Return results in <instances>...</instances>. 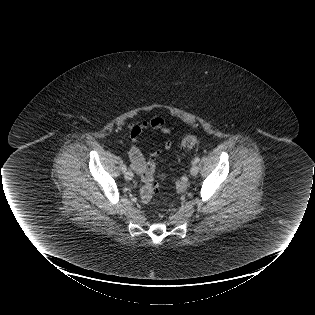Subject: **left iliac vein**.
<instances>
[{"label":"left iliac vein","mask_w":315,"mask_h":315,"mask_svg":"<svg viewBox=\"0 0 315 315\" xmlns=\"http://www.w3.org/2000/svg\"><path fill=\"white\" fill-rule=\"evenodd\" d=\"M198 172H199V166L197 165V163L194 162L190 169V173L191 175L195 176L198 174Z\"/></svg>","instance_id":"left-iliac-vein-1"}]
</instances>
